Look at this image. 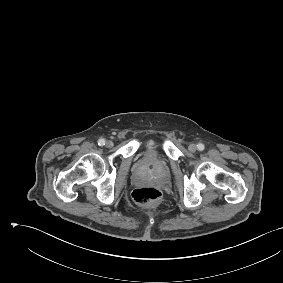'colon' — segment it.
<instances>
[{
    "instance_id": "1",
    "label": "colon",
    "mask_w": 283,
    "mask_h": 283,
    "mask_svg": "<svg viewBox=\"0 0 283 283\" xmlns=\"http://www.w3.org/2000/svg\"><path fill=\"white\" fill-rule=\"evenodd\" d=\"M132 197L140 205L154 206L160 201L161 193L154 187H141L133 191Z\"/></svg>"
}]
</instances>
